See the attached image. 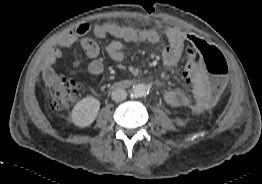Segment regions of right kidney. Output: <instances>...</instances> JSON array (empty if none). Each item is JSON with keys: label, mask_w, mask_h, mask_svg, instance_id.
<instances>
[{"label": "right kidney", "mask_w": 262, "mask_h": 184, "mask_svg": "<svg viewBox=\"0 0 262 184\" xmlns=\"http://www.w3.org/2000/svg\"><path fill=\"white\" fill-rule=\"evenodd\" d=\"M100 109L98 99L88 96L79 101L73 108L71 118L79 127H87L93 123Z\"/></svg>", "instance_id": "obj_1"}]
</instances>
